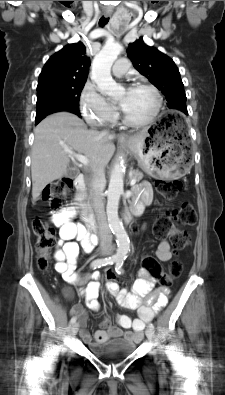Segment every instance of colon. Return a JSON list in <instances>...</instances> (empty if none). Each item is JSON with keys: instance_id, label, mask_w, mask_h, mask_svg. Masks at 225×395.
Returning a JSON list of instances; mask_svg holds the SVG:
<instances>
[{"instance_id": "1", "label": "colon", "mask_w": 225, "mask_h": 395, "mask_svg": "<svg viewBox=\"0 0 225 395\" xmlns=\"http://www.w3.org/2000/svg\"><path fill=\"white\" fill-rule=\"evenodd\" d=\"M158 193L166 200L175 199L182 189V182L179 180H156ZM73 187V180L65 177L49 184L43 192V200L46 201L53 211L62 212L67 203V195ZM197 215L193 205L189 202L181 203L172 211L161 213L155 221L153 233L156 237L171 239L175 250L185 249L190 241L188 233L182 228L191 226L196 222ZM33 233L36 238L35 248L37 252V266L45 271L51 262V252L55 243V230L40 219L32 222ZM141 272H148L153 275V281H160L162 288H173V280L181 272V264L178 260L172 262L168 272L165 268H160L159 263L153 258L149 250L141 252ZM107 283H118V272H107Z\"/></svg>"}]
</instances>
